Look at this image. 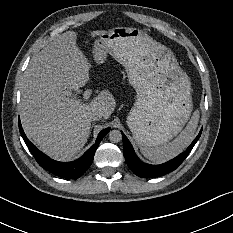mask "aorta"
I'll list each match as a JSON object with an SVG mask.
<instances>
[{"label": "aorta", "instance_id": "1", "mask_svg": "<svg viewBox=\"0 0 233 233\" xmlns=\"http://www.w3.org/2000/svg\"><path fill=\"white\" fill-rule=\"evenodd\" d=\"M122 139V134L119 130H111L109 132V140L113 143H118Z\"/></svg>", "mask_w": 233, "mask_h": 233}]
</instances>
